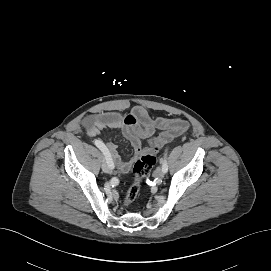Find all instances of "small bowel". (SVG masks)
Masks as SVG:
<instances>
[{"instance_id":"1","label":"small bowel","mask_w":271,"mask_h":271,"mask_svg":"<svg viewBox=\"0 0 271 271\" xmlns=\"http://www.w3.org/2000/svg\"><path fill=\"white\" fill-rule=\"evenodd\" d=\"M83 124L89 136H95L105 129H117L130 142L135 154L132 161H123L115 144L105 145L121 174L128 173L133 161L146 152L142 140L150 139L151 148H159L167 140L183 133L188 128V122L183 119L153 118L142 106L133 107L127 114L108 112L89 115L84 119ZM156 130H160L161 133L152 138Z\"/></svg>"}]
</instances>
